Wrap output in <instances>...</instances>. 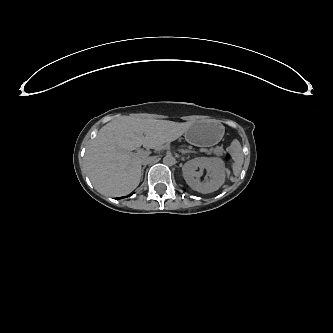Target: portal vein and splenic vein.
I'll list each match as a JSON object with an SVG mask.
<instances>
[{"mask_svg": "<svg viewBox=\"0 0 333 333\" xmlns=\"http://www.w3.org/2000/svg\"><path fill=\"white\" fill-rule=\"evenodd\" d=\"M132 156H138L139 158H144V157H147L148 155H149V152H147V151H143V150H141V151H139V152H137V153H133V152H131L130 153Z\"/></svg>", "mask_w": 333, "mask_h": 333, "instance_id": "1", "label": "portal vein and splenic vein"}]
</instances>
